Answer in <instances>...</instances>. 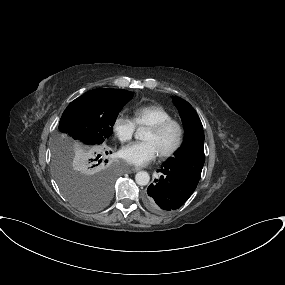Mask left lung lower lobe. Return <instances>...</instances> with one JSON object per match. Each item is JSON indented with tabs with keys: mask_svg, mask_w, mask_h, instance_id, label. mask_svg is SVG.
I'll return each mask as SVG.
<instances>
[{
	"mask_svg": "<svg viewBox=\"0 0 285 285\" xmlns=\"http://www.w3.org/2000/svg\"><path fill=\"white\" fill-rule=\"evenodd\" d=\"M159 180L150 184L144 196L145 205L156 212H168L181 207L192 195L200 179L164 165Z\"/></svg>",
	"mask_w": 285,
	"mask_h": 285,
	"instance_id": "0a47b994",
	"label": "left lung lower lobe"
}]
</instances>
